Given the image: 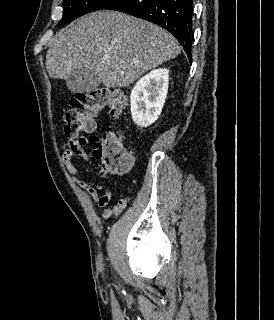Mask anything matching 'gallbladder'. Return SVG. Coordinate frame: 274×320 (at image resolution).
<instances>
[{
	"label": "gallbladder",
	"instance_id": "obj_1",
	"mask_svg": "<svg viewBox=\"0 0 274 320\" xmlns=\"http://www.w3.org/2000/svg\"><path fill=\"white\" fill-rule=\"evenodd\" d=\"M67 84L70 95H81L83 92H90L96 86L101 85V78H96L91 68H71L68 74Z\"/></svg>",
	"mask_w": 274,
	"mask_h": 320
}]
</instances>
